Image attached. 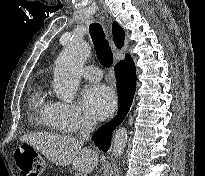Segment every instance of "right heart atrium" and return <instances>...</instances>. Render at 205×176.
Here are the masks:
<instances>
[{
  "label": "right heart atrium",
  "mask_w": 205,
  "mask_h": 176,
  "mask_svg": "<svg viewBox=\"0 0 205 176\" xmlns=\"http://www.w3.org/2000/svg\"><path fill=\"white\" fill-rule=\"evenodd\" d=\"M54 113L59 124L66 129H83L92 124L91 118L74 103L55 102Z\"/></svg>",
  "instance_id": "d8ad5b80"
}]
</instances>
